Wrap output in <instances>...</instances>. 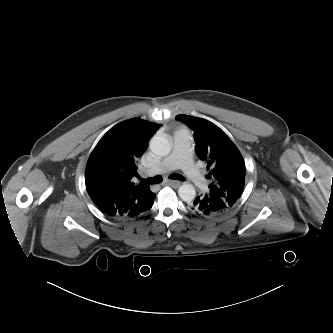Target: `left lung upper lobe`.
<instances>
[{"label": "left lung upper lobe", "mask_w": 333, "mask_h": 333, "mask_svg": "<svg viewBox=\"0 0 333 333\" xmlns=\"http://www.w3.org/2000/svg\"><path fill=\"white\" fill-rule=\"evenodd\" d=\"M176 119L194 130L196 153L209 169V194L221 198L230 210L244 189L245 164L240 152L212 122L185 114L177 115Z\"/></svg>", "instance_id": "left-lung-upper-lobe-1"}]
</instances>
